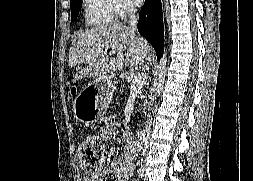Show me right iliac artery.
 I'll list each match as a JSON object with an SVG mask.
<instances>
[{
	"label": "right iliac artery",
	"instance_id": "obj_1",
	"mask_svg": "<svg viewBox=\"0 0 253 181\" xmlns=\"http://www.w3.org/2000/svg\"><path fill=\"white\" fill-rule=\"evenodd\" d=\"M138 173H139V176L142 178V176H143V169H139Z\"/></svg>",
	"mask_w": 253,
	"mask_h": 181
}]
</instances>
